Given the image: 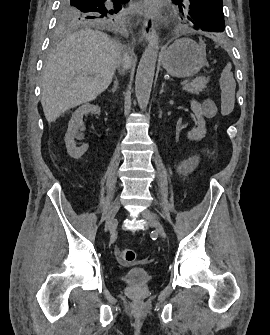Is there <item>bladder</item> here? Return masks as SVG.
<instances>
[{"label":"bladder","instance_id":"1","mask_svg":"<svg viewBox=\"0 0 270 335\" xmlns=\"http://www.w3.org/2000/svg\"><path fill=\"white\" fill-rule=\"evenodd\" d=\"M122 278L128 283V286L145 285L149 279V270L147 268H133L127 270Z\"/></svg>","mask_w":270,"mask_h":335}]
</instances>
